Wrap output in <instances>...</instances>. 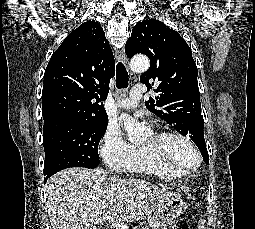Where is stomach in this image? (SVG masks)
I'll list each match as a JSON object with an SVG mask.
<instances>
[{"label":"stomach","mask_w":255,"mask_h":229,"mask_svg":"<svg viewBox=\"0 0 255 229\" xmlns=\"http://www.w3.org/2000/svg\"><path fill=\"white\" fill-rule=\"evenodd\" d=\"M186 208V202L180 194H174L169 201L156 209L149 218L151 229H169L173 220L177 219Z\"/></svg>","instance_id":"obj_1"}]
</instances>
